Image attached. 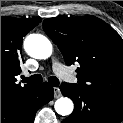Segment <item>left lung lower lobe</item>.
<instances>
[{
	"label": "left lung lower lobe",
	"instance_id": "1",
	"mask_svg": "<svg viewBox=\"0 0 123 123\" xmlns=\"http://www.w3.org/2000/svg\"><path fill=\"white\" fill-rule=\"evenodd\" d=\"M60 90L74 102V111L62 123H120L123 101L62 83Z\"/></svg>",
	"mask_w": 123,
	"mask_h": 123
}]
</instances>
